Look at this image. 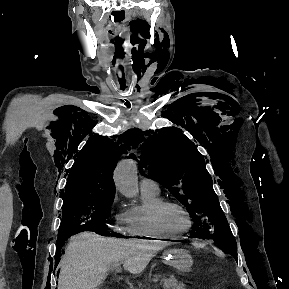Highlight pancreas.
Listing matches in <instances>:
<instances>
[{"instance_id": "cf45deb5", "label": "pancreas", "mask_w": 289, "mask_h": 289, "mask_svg": "<svg viewBox=\"0 0 289 289\" xmlns=\"http://www.w3.org/2000/svg\"><path fill=\"white\" fill-rule=\"evenodd\" d=\"M160 283L165 285H169V287L165 289H186L185 285L181 282H178L174 276H170L167 278L166 276L161 277Z\"/></svg>"}]
</instances>
